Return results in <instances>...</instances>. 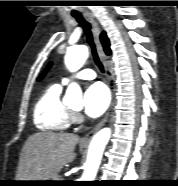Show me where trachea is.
<instances>
[{
  "mask_svg": "<svg viewBox=\"0 0 178 186\" xmlns=\"http://www.w3.org/2000/svg\"><path fill=\"white\" fill-rule=\"evenodd\" d=\"M75 19L83 27V29L85 31L87 41H88V43L91 47V50H92V55H93L94 62L96 63V65L98 66L100 71L104 72L103 64H102V62L99 58V55L97 53V49H96V45H95V42H94V37H93V33H92L90 23L87 22L82 16H77V17H75Z\"/></svg>",
  "mask_w": 178,
  "mask_h": 186,
  "instance_id": "obj_1",
  "label": "trachea"
}]
</instances>
